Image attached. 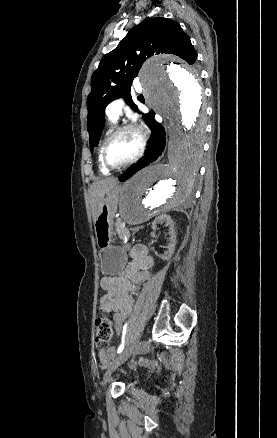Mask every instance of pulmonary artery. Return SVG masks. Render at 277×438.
<instances>
[{"mask_svg": "<svg viewBox=\"0 0 277 438\" xmlns=\"http://www.w3.org/2000/svg\"><path fill=\"white\" fill-rule=\"evenodd\" d=\"M140 80H133L131 86L138 88ZM120 94L123 92L121 89L118 91ZM125 110V103L122 99L111 102L106 108V116L110 121H117Z\"/></svg>", "mask_w": 277, "mask_h": 438, "instance_id": "1", "label": "pulmonary artery"}]
</instances>
